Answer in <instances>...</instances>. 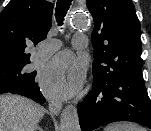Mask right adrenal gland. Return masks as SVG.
I'll list each match as a JSON object with an SVG mask.
<instances>
[{"mask_svg":"<svg viewBox=\"0 0 151 131\" xmlns=\"http://www.w3.org/2000/svg\"><path fill=\"white\" fill-rule=\"evenodd\" d=\"M38 130H39V131H43V129H42L41 127H38Z\"/></svg>","mask_w":151,"mask_h":131,"instance_id":"obj_1","label":"right adrenal gland"}]
</instances>
